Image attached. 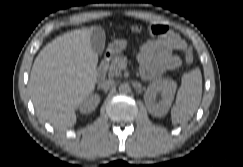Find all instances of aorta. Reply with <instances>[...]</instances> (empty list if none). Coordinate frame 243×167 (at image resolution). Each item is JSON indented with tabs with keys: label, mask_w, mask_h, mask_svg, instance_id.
Here are the masks:
<instances>
[{
	"label": "aorta",
	"mask_w": 243,
	"mask_h": 167,
	"mask_svg": "<svg viewBox=\"0 0 243 167\" xmlns=\"http://www.w3.org/2000/svg\"><path fill=\"white\" fill-rule=\"evenodd\" d=\"M119 91L122 93H127L130 91V86L128 83H122L119 85Z\"/></svg>",
	"instance_id": "762f6f07"
}]
</instances>
